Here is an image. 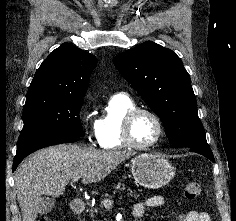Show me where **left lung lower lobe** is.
<instances>
[{
  "label": "left lung lower lobe",
  "instance_id": "left-lung-lower-lobe-1",
  "mask_svg": "<svg viewBox=\"0 0 236 221\" xmlns=\"http://www.w3.org/2000/svg\"><path fill=\"white\" fill-rule=\"evenodd\" d=\"M189 150L192 152L202 154L203 156L207 157L208 159H210L211 161L214 162V156H213V153H212L209 145H203L200 147L189 148Z\"/></svg>",
  "mask_w": 236,
  "mask_h": 221
}]
</instances>
